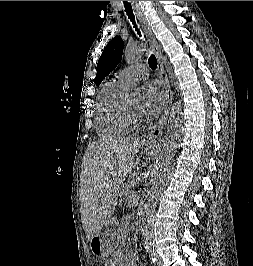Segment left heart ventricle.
Wrapping results in <instances>:
<instances>
[{"label":"left heart ventricle","mask_w":253,"mask_h":266,"mask_svg":"<svg viewBox=\"0 0 253 266\" xmlns=\"http://www.w3.org/2000/svg\"><path fill=\"white\" fill-rule=\"evenodd\" d=\"M127 103L132 111L136 113L138 112L139 105H140V100L138 96H132V97L127 98Z\"/></svg>","instance_id":"left-heart-ventricle-1"}]
</instances>
